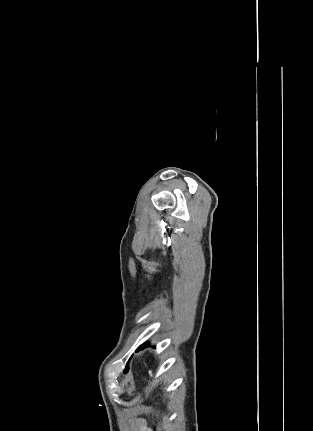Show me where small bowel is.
I'll use <instances>...</instances> for the list:
<instances>
[{"label":"small bowel","mask_w":313,"mask_h":431,"mask_svg":"<svg viewBox=\"0 0 313 431\" xmlns=\"http://www.w3.org/2000/svg\"><path fill=\"white\" fill-rule=\"evenodd\" d=\"M134 425L136 431H152L147 423L142 419L137 420Z\"/></svg>","instance_id":"small-bowel-1"}]
</instances>
